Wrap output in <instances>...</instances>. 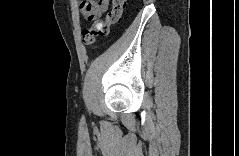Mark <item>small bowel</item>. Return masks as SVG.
Listing matches in <instances>:
<instances>
[{
    "label": "small bowel",
    "instance_id": "obj_1",
    "mask_svg": "<svg viewBox=\"0 0 239 156\" xmlns=\"http://www.w3.org/2000/svg\"><path fill=\"white\" fill-rule=\"evenodd\" d=\"M108 7V0H88L79 2V9L86 21H94L101 18Z\"/></svg>",
    "mask_w": 239,
    "mask_h": 156
}]
</instances>
